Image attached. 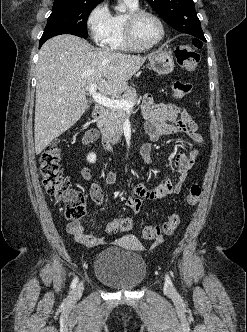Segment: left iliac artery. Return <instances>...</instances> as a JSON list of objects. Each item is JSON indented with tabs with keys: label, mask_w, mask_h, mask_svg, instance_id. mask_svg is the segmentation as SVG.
<instances>
[{
	"label": "left iliac artery",
	"mask_w": 247,
	"mask_h": 332,
	"mask_svg": "<svg viewBox=\"0 0 247 332\" xmlns=\"http://www.w3.org/2000/svg\"><path fill=\"white\" fill-rule=\"evenodd\" d=\"M165 280H166V283H168L169 285H171L173 287L172 281L168 274L165 275Z\"/></svg>",
	"instance_id": "1"
}]
</instances>
